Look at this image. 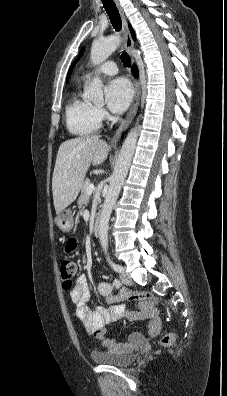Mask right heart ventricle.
I'll return each mask as SVG.
<instances>
[{
    "mask_svg": "<svg viewBox=\"0 0 227 396\" xmlns=\"http://www.w3.org/2000/svg\"><path fill=\"white\" fill-rule=\"evenodd\" d=\"M65 120L69 132L76 136L93 134L100 127L96 108L83 99L77 90L72 93L66 105Z\"/></svg>",
    "mask_w": 227,
    "mask_h": 396,
    "instance_id": "1",
    "label": "right heart ventricle"
}]
</instances>
